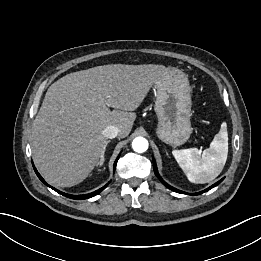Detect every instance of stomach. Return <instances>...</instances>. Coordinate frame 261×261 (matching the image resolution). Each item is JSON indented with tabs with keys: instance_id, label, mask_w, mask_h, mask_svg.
<instances>
[{
	"instance_id": "stomach-1",
	"label": "stomach",
	"mask_w": 261,
	"mask_h": 261,
	"mask_svg": "<svg viewBox=\"0 0 261 261\" xmlns=\"http://www.w3.org/2000/svg\"><path fill=\"white\" fill-rule=\"evenodd\" d=\"M155 112L158 118L157 137L172 147L184 144L192 133L191 95L187 76L178 69L155 82Z\"/></svg>"
}]
</instances>
